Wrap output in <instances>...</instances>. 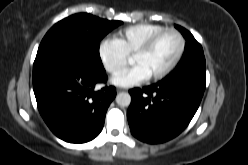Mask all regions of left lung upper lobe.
Returning <instances> with one entry per match:
<instances>
[{"instance_id":"obj_1","label":"left lung upper lobe","mask_w":248,"mask_h":165,"mask_svg":"<svg viewBox=\"0 0 248 165\" xmlns=\"http://www.w3.org/2000/svg\"><path fill=\"white\" fill-rule=\"evenodd\" d=\"M175 27L186 39V45L181 61L168 77L182 75L194 68H206L205 57L200 43H198L193 35L185 28L178 25H175Z\"/></svg>"}]
</instances>
